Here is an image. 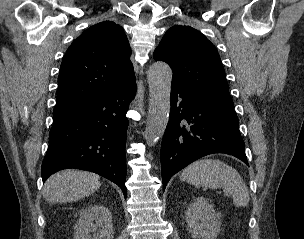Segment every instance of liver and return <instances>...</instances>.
Returning <instances> with one entry per match:
<instances>
[{
    "label": "liver",
    "instance_id": "obj_1",
    "mask_svg": "<svg viewBox=\"0 0 304 239\" xmlns=\"http://www.w3.org/2000/svg\"><path fill=\"white\" fill-rule=\"evenodd\" d=\"M99 180L92 172L63 170L47 179L44 198L51 204L73 202L95 192L101 186Z\"/></svg>",
    "mask_w": 304,
    "mask_h": 239
}]
</instances>
